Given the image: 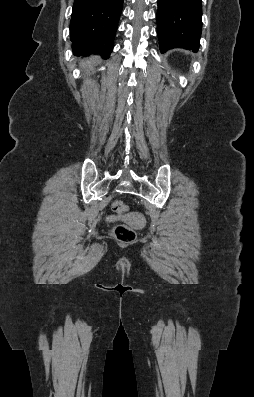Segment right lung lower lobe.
Returning a JSON list of instances; mask_svg holds the SVG:
<instances>
[{"mask_svg":"<svg viewBox=\"0 0 254 397\" xmlns=\"http://www.w3.org/2000/svg\"><path fill=\"white\" fill-rule=\"evenodd\" d=\"M122 6L123 0H75L70 22L73 54L108 58Z\"/></svg>","mask_w":254,"mask_h":397,"instance_id":"obj_1","label":"right lung lower lobe"}]
</instances>
